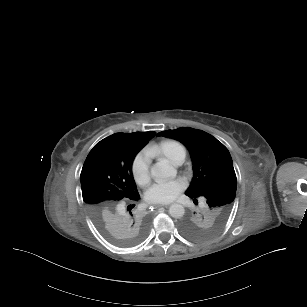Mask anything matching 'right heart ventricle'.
Returning a JSON list of instances; mask_svg holds the SVG:
<instances>
[{
    "label": "right heart ventricle",
    "instance_id": "1",
    "mask_svg": "<svg viewBox=\"0 0 307 307\" xmlns=\"http://www.w3.org/2000/svg\"><path fill=\"white\" fill-rule=\"evenodd\" d=\"M189 148L183 142L177 139H169L164 144L163 154L170 157L175 154H183L185 157L188 155Z\"/></svg>",
    "mask_w": 307,
    "mask_h": 307
}]
</instances>
